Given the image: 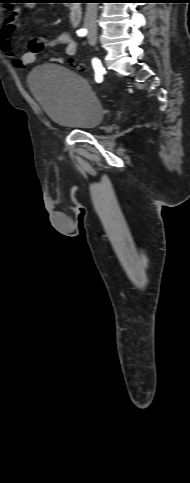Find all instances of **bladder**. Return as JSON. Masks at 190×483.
I'll return each instance as SVG.
<instances>
[{
	"mask_svg": "<svg viewBox=\"0 0 190 483\" xmlns=\"http://www.w3.org/2000/svg\"><path fill=\"white\" fill-rule=\"evenodd\" d=\"M31 94L54 122L89 130L99 126L103 105L83 77L59 64H43L29 74Z\"/></svg>",
	"mask_w": 190,
	"mask_h": 483,
	"instance_id": "31cf9c89",
	"label": "bladder"
}]
</instances>
